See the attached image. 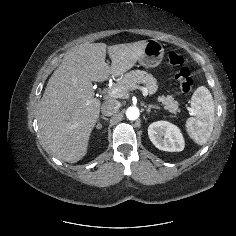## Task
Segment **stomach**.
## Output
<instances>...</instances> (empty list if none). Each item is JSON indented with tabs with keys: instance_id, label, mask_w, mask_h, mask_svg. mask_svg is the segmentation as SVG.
I'll use <instances>...</instances> for the list:
<instances>
[{
	"instance_id": "0dacf381",
	"label": "stomach",
	"mask_w": 236,
	"mask_h": 236,
	"mask_svg": "<svg viewBox=\"0 0 236 236\" xmlns=\"http://www.w3.org/2000/svg\"><path fill=\"white\" fill-rule=\"evenodd\" d=\"M164 55V49L160 42L155 39H151L147 42L143 54L139 58L140 65L146 68H153L158 66Z\"/></svg>"
}]
</instances>
